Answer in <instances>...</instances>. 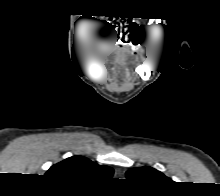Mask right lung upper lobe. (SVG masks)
I'll list each match as a JSON object with an SVG mask.
<instances>
[{
	"label": "right lung upper lobe",
	"mask_w": 220,
	"mask_h": 196,
	"mask_svg": "<svg viewBox=\"0 0 220 196\" xmlns=\"http://www.w3.org/2000/svg\"><path fill=\"white\" fill-rule=\"evenodd\" d=\"M46 176L63 179L69 183L94 185L110 179L113 169L101 166L83 156H73L50 167Z\"/></svg>",
	"instance_id": "cb5924a9"
}]
</instances>
